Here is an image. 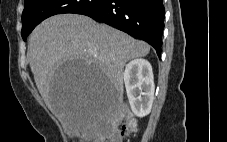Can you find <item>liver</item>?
<instances>
[{
	"instance_id": "liver-1",
	"label": "liver",
	"mask_w": 227,
	"mask_h": 142,
	"mask_svg": "<svg viewBox=\"0 0 227 142\" xmlns=\"http://www.w3.org/2000/svg\"><path fill=\"white\" fill-rule=\"evenodd\" d=\"M150 46L78 14H59L40 23L29 38L30 68L48 108L70 132L88 135L95 123L123 100V69L145 57ZM60 61H93L101 78L95 88H60L52 81ZM105 98V101H104Z\"/></svg>"
}]
</instances>
